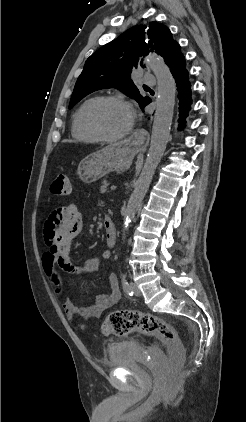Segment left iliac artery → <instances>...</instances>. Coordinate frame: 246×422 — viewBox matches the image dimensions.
Returning <instances> with one entry per match:
<instances>
[{"label":"left iliac artery","instance_id":"obj_1","mask_svg":"<svg viewBox=\"0 0 246 422\" xmlns=\"http://www.w3.org/2000/svg\"><path fill=\"white\" fill-rule=\"evenodd\" d=\"M122 288L127 295L133 296V290L126 279L125 274H122Z\"/></svg>","mask_w":246,"mask_h":422}]
</instances>
